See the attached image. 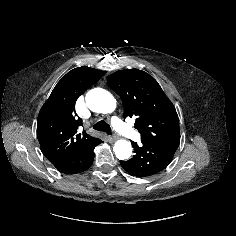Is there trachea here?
Instances as JSON below:
<instances>
[{
	"label": "trachea",
	"mask_w": 236,
	"mask_h": 236,
	"mask_svg": "<svg viewBox=\"0 0 236 236\" xmlns=\"http://www.w3.org/2000/svg\"><path fill=\"white\" fill-rule=\"evenodd\" d=\"M94 129L97 130V131L106 132L107 134L112 133L109 124H107L104 120L98 121L95 124Z\"/></svg>",
	"instance_id": "3493384b"
}]
</instances>
